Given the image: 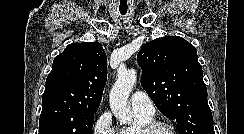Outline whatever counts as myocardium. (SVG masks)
Returning <instances> with one entry per match:
<instances>
[{
    "label": "myocardium",
    "mask_w": 244,
    "mask_h": 134,
    "mask_svg": "<svg viewBox=\"0 0 244 134\" xmlns=\"http://www.w3.org/2000/svg\"><path fill=\"white\" fill-rule=\"evenodd\" d=\"M159 128H166L171 132V134H179L172 124L165 121L156 120L141 126L138 134H154Z\"/></svg>",
    "instance_id": "f54148a6"
}]
</instances>
